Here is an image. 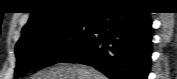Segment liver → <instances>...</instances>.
Masks as SVG:
<instances>
[{"label": "liver", "mask_w": 177, "mask_h": 79, "mask_svg": "<svg viewBox=\"0 0 177 79\" xmlns=\"http://www.w3.org/2000/svg\"><path fill=\"white\" fill-rule=\"evenodd\" d=\"M30 79H107L95 68L83 64L59 63L51 68L43 69Z\"/></svg>", "instance_id": "liver-1"}]
</instances>
